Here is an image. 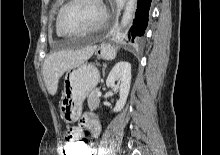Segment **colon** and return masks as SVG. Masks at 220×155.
I'll return each instance as SVG.
<instances>
[{"label": "colon", "mask_w": 220, "mask_h": 155, "mask_svg": "<svg viewBox=\"0 0 220 155\" xmlns=\"http://www.w3.org/2000/svg\"><path fill=\"white\" fill-rule=\"evenodd\" d=\"M91 142L88 139H73L72 141L64 142V155H88Z\"/></svg>", "instance_id": "obj_1"}]
</instances>
